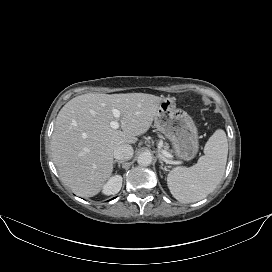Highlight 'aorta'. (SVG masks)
Wrapping results in <instances>:
<instances>
[{"mask_svg": "<svg viewBox=\"0 0 272 272\" xmlns=\"http://www.w3.org/2000/svg\"><path fill=\"white\" fill-rule=\"evenodd\" d=\"M137 162L141 166H148L152 163V155L149 152L141 153L138 156Z\"/></svg>", "mask_w": 272, "mask_h": 272, "instance_id": "1", "label": "aorta"}]
</instances>
